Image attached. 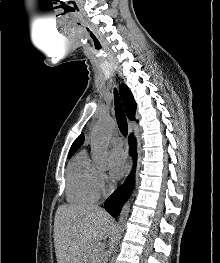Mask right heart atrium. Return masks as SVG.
I'll return each mask as SVG.
<instances>
[{"label": "right heart atrium", "instance_id": "right-heart-atrium-1", "mask_svg": "<svg viewBox=\"0 0 220 263\" xmlns=\"http://www.w3.org/2000/svg\"><path fill=\"white\" fill-rule=\"evenodd\" d=\"M97 183L100 190H105L109 187V181L104 172L97 171Z\"/></svg>", "mask_w": 220, "mask_h": 263}]
</instances>
